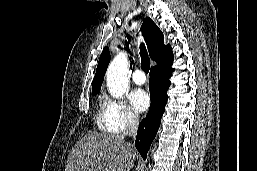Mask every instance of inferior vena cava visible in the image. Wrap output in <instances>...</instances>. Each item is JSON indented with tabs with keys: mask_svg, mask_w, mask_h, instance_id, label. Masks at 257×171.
<instances>
[{
	"mask_svg": "<svg viewBox=\"0 0 257 171\" xmlns=\"http://www.w3.org/2000/svg\"><path fill=\"white\" fill-rule=\"evenodd\" d=\"M138 125H139V117L135 114H132L129 118L128 129L123 134V136L124 135L135 136L137 133Z\"/></svg>",
	"mask_w": 257,
	"mask_h": 171,
	"instance_id": "inferior-vena-cava-1",
	"label": "inferior vena cava"
}]
</instances>
